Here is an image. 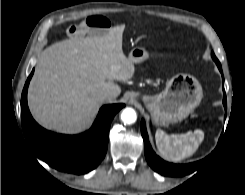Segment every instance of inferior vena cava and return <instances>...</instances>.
I'll return each mask as SVG.
<instances>
[{
	"label": "inferior vena cava",
	"mask_w": 245,
	"mask_h": 195,
	"mask_svg": "<svg viewBox=\"0 0 245 195\" xmlns=\"http://www.w3.org/2000/svg\"><path fill=\"white\" fill-rule=\"evenodd\" d=\"M112 98V94L109 92H105L101 95V99L103 100H110Z\"/></svg>",
	"instance_id": "obj_1"
}]
</instances>
